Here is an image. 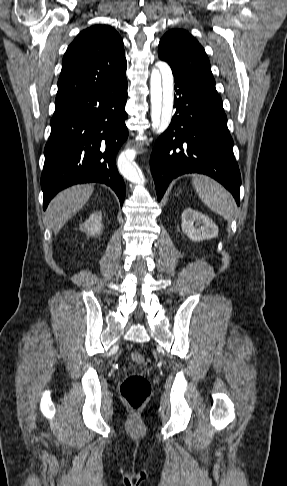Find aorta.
I'll list each match as a JSON object with an SVG mask.
<instances>
[{
	"mask_svg": "<svg viewBox=\"0 0 287 486\" xmlns=\"http://www.w3.org/2000/svg\"><path fill=\"white\" fill-rule=\"evenodd\" d=\"M173 74L170 66L161 62L154 68L150 79L152 129L163 133L170 125L173 115ZM135 151L129 150L119 162L120 173L132 183H140L138 166L133 162Z\"/></svg>",
	"mask_w": 287,
	"mask_h": 486,
	"instance_id": "obj_1",
	"label": "aorta"
}]
</instances>
